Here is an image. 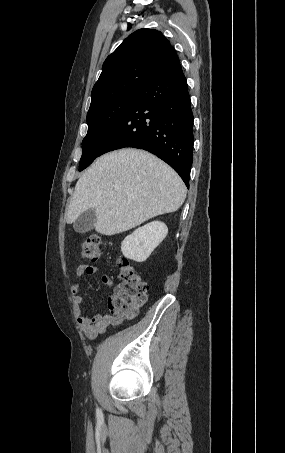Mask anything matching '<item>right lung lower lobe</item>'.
I'll list each match as a JSON object with an SVG mask.
<instances>
[{
  "label": "right lung lower lobe",
  "mask_w": 285,
  "mask_h": 453,
  "mask_svg": "<svg viewBox=\"0 0 285 453\" xmlns=\"http://www.w3.org/2000/svg\"><path fill=\"white\" fill-rule=\"evenodd\" d=\"M193 114L181 65L152 77L107 140L101 155L124 147L147 150L168 163L189 187Z\"/></svg>",
  "instance_id": "right-lung-lower-lobe-1"
}]
</instances>
